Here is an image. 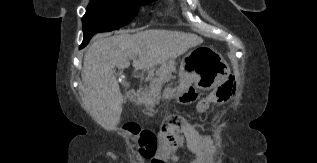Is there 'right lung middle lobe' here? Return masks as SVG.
I'll return each instance as SVG.
<instances>
[{
    "label": "right lung middle lobe",
    "mask_w": 317,
    "mask_h": 163,
    "mask_svg": "<svg viewBox=\"0 0 317 163\" xmlns=\"http://www.w3.org/2000/svg\"><path fill=\"white\" fill-rule=\"evenodd\" d=\"M154 0H91L82 18L84 39L88 44L98 32H109L128 24L138 12V4Z\"/></svg>",
    "instance_id": "1"
}]
</instances>
